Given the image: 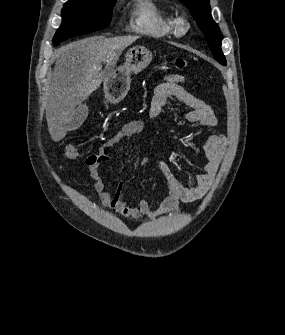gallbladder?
<instances>
[{
	"label": "gallbladder",
	"instance_id": "obj_1",
	"mask_svg": "<svg viewBox=\"0 0 285 335\" xmlns=\"http://www.w3.org/2000/svg\"><path fill=\"white\" fill-rule=\"evenodd\" d=\"M88 112L87 106H78L73 114L72 122H70L68 130H78L83 122H85Z\"/></svg>",
	"mask_w": 285,
	"mask_h": 335
}]
</instances>
